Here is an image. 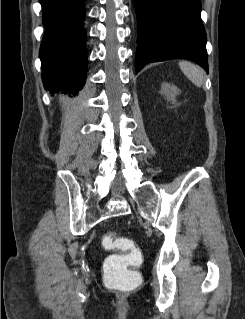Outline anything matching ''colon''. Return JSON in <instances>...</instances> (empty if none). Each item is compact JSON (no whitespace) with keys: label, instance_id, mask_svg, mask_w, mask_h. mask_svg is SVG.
I'll list each match as a JSON object with an SVG mask.
<instances>
[{"label":"colon","instance_id":"colon-1","mask_svg":"<svg viewBox=\"0 0 245 319\" xmlns=\"http://www.w3.org/2000/svg\"><path fill=\"white\" fill-rule=\"evenodd\" d=\"M102 246L109 251H119L107 258L105 264L106 281L111 285L137 286L138 275L130 267L140 262V254L132 240L114 234L105 235Z\"/></svg>","mask_w":245,"mask_h":319}]
</instances>
